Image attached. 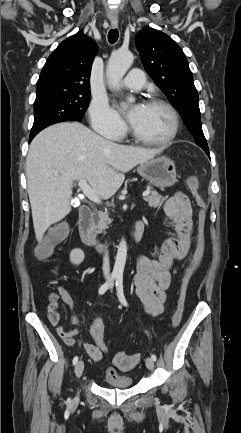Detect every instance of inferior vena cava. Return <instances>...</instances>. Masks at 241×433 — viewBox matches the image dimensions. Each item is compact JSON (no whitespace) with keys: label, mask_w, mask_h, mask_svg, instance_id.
Here are the masks:
<instances>
[{"label":"inferior vena cava","mask_w":241,"mask_h":433,"mask_svg":"<svg viewBox=\"0 0 241 433\" xmlns=\"http://www.w3.org/2000/svg\"><path fill=\"white\" fill-rule=\"evenodd\" d=\"M102 269H103L104 277L106 279H108L110 277V264H109V257H108L107 252L105 253V256L103 258V267H102Z\"/></svg>","instance_id":"1"}]
</instances>
